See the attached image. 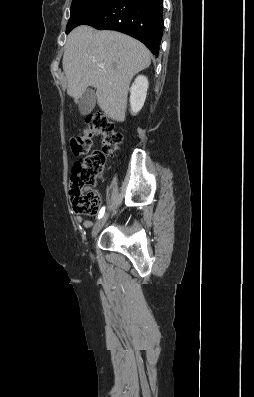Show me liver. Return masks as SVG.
<instances>
[{
  "label": "liver",
  "mask_w": 254,
  "mask_h": 397,
  "mask_svg": "<svg viewBox=\"0 0 254 397\" xmlns=\"http://www.w3.org/2000/svg\"><path fill=\"white\" fill-rule=\"evenodd\" d=\"M150 64V52L139 41L116 31H97L86 25L70 32L62 60L67 91L75 103L92 86L100 109L118 122L125 120L131 80Z\"/></svg>",
  "instance_id": "obj_1"
}]
</instances>
